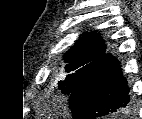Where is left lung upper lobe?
I'll return each mask as SVG.
<instances>
[{"instance_id":"1","label":"left lung upper lobe","mask_w":142,"mask_h":119,"mask_svg":"<svg viewBox=\"0 0 142 119\" xmlns=\"http://www.w3.org/2000/svg\"><path fill=\"white\" fill-rule=\"evenodd\" d=\"M107 54L105 53V44L99 34L92 32L80 37L65 56L64 80L59 82V88L63 94H71L82 78Z\"/></svg>"}]
</instances>
